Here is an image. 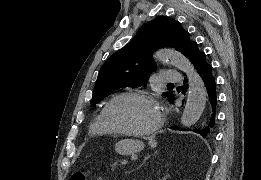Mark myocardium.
<instances>
[{"label":"myocardium","mask_w":261,"mask_h":180,"mask_svg":"<svg viewBox=\"0 0 261 180\" xmlns=\"http://www.w3.org/2000/svg\"><path fill=\"white\" fill-rule=\"evenodd\" d=\"M124 97H141L154 103L155 105V119L151 129L144 134H125L118 132L109 122L107 118V110L115 102ZM101 117L105 128L116 138L130 139V140H149L155 137L161 128L163 121V110L162 103L159 97L151 92L145 90H126L115 94L109 101L104 105L101 110Z\"/></svg>","instance_id":"f54148a6"}]
</instances>
